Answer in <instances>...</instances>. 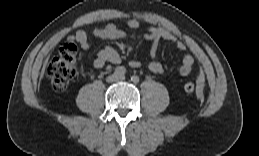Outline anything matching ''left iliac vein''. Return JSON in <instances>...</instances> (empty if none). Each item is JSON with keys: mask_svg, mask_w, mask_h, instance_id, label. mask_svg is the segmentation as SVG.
<instances>
[{"mask_svg": "<svg viewBox=\"0 0 259 156\" xmlns=\"http://www.w3.org/2000/svg\"><path fill=\"white\" fill-rule=\"evenodd\" d=\"M118 80H119V81H123V80H125V77H124V76H119V77H118Z\"/></svg>", "mask_w": 259, "mask_h": 156, "instance_id": "4c4485c4", "label": "left iliac vein"}]
</instances>
